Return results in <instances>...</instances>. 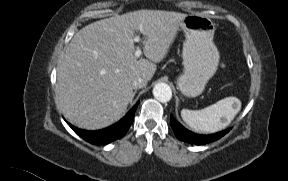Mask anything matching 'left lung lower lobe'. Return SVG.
I'll return each mask as SVG.
<instances>
[{"mask_svg":"<svg viewBox=\"0 0 288 181\" xmlns=\"http://www.w3.org/2000/svg\"><path fill=\"white\" fill-rule=\"evenodd\" d=\"M170 125L179 140L195 145H204L216 141L229 131V129H226L211 135H199L184 128L172 115Z\"/></svg>","mask_w":288,"mask_h":181,"instance_id":"0a47b994","label":"left lung lower lobe"}]
</instances>
